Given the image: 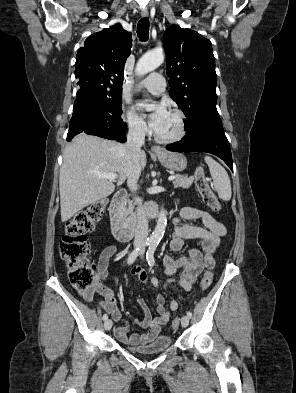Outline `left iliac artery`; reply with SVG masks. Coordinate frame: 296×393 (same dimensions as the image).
I'll return each instance as SVG.
<instances>
[{
	"instance_id": "obj_1",
	"label": "left iliac artery",
	"mask_w": 296,
	"mask_h": 393,
	"mask_svg": "<svg viewBox=\"0 0 296 393\" xmlns=\"http://www.w3.org/2000/svg\"><path fill=\"white\" fill-rule=\"evenodd\" d=\"M157 244L151 243L148 247L147 253H146V259L148 261L149 266H154L155 265V259H154V252L156 250ZM187 316L189 318L192 317V313L190 311L187 312Z\"/></svg>"
}]
</instances>
